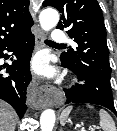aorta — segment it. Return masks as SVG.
Instances as JSON below:
<instances>
[{"label":"aorta","mask_w":117,"mask_h":131,"mask_svg":"<svg viewBox=\"0 0 117 131\" xmlns=\"http://www.w3.org/2000/svg\"><path fill=\"white\" fill-rule=\"evenodd\" d=\"M40 26L44 31L54 28L59 21V14L55 9H44L39 15ZM55 124V112L52 109H46L40 117L41 131H52Z\"/></svg>","instance_id":"762f6f07"}]
</instances>
